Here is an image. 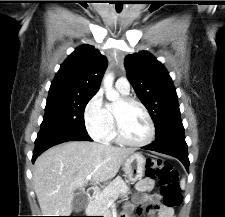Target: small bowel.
Segmentation results:
<instances>
[{"mask_svg":"<svg viewBox=\"0 0 225 217\" xmlns=\"http://www.w3.org/2000/svg\"><path fill=\"white\" fill-rule=\"evenodd\" d=\"M154 187V180L152 178L146 177L140 180L136 184V190L139 192H148ZM160 196L158 194H142L136 196L131 203L126 205L127 212L132 211L135 207L139 212L143 210V207L146 206L151 217H154V213L158 210V217H176L174 210L172 208L166 207L164 205H159ZM122 217H129V215H123Z\"/></svg>","mask_w":225,"mask_h":217,"instance_id":"1","label":"small bowel"}]
</instances>
